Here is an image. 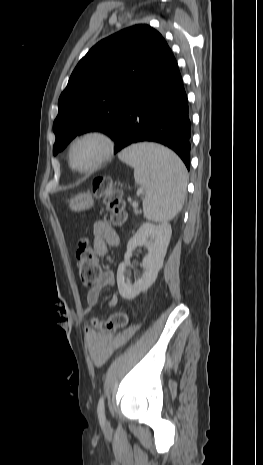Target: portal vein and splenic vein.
Listing matches in <instances>:
<instances>
[{"label": "portal vein and splenic vein", "mask_w": 263, "mask_h": 465, "mask_svg": "<svg viewBox=\"0 0 263 465\" xmlns=\"http://www.w3.org/2000/svg\"><path fill=\"white\" fill-rule=\"evenodd\" d=\"M142 192H143V189H139V190L137 191V195L142 194ZM132 206H133V207H137V206H138V203H137V202H132Z\"/></svg>", "instance_id": "obj_1"}]
</instances>
